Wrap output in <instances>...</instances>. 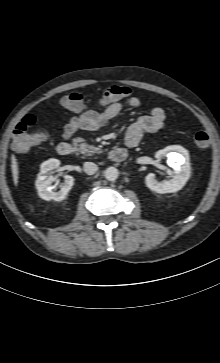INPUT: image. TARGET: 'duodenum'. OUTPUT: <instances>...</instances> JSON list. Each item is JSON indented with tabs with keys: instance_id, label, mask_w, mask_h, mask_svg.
<instances>
[{
	"instance_id": "1",
	"label": "duodenum",
	"mask_w": 220,
	"mask_h": 363,
	"mask_svg": "<svg viewBox=\"0 0 220 363\" xmlns=\"http://www.w3.org/2000/svg\"><path fill=\"white\" fill-rule=\"evenodd\" d=\"M57 153L60 156H71L75 153V147L68 142L59 143ZM109 158L112 162H122L127 158V150L124 148L112 149L109 153Z\"/></svg>"
}]
</instances>
